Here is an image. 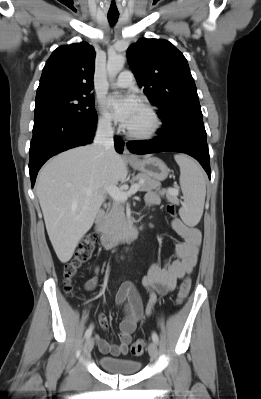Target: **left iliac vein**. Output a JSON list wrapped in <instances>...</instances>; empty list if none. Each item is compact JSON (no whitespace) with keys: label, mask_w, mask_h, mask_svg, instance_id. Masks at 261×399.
<instances>
[{"label":"left iliac vein","mask_w":261,"mask_h":399,"mask_svg":"<svg viewBox=\"0 0 261 399\" xmlns=\"http://www.w3.org/2000/svg\"><path fill=\"white\" fill-rule=\"evenodd\" d=\"M148 352L152 359H156L158 356V348L155 342H151L148 346Z\"/></svg>","instance_id":"left-iliac-vein-1"}]
</instances>
